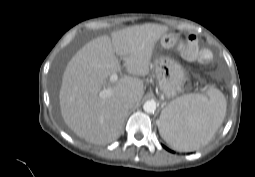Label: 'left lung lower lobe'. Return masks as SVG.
<instances>
[{"label": "left lung lower lobe", "instance_id": "0a47b994", "mask_svg": "<svg viewBox=\"0 0 255 177\" xmlns=\"http://www.w3.org/2000/svg\"><path fill=\"white\" fill-rule=\"evenodd\" d=\"M165 149H167L168 151H171L170 149H168L167 147L164 146Z\"/></svg>", "mask_w": 255, "mask_h": 177}]
</instances>
